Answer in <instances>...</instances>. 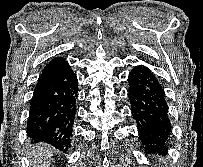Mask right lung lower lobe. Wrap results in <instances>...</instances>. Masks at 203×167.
Wrapping results in <instances>:
<instances>
[{
	"instance_id": "98d812e1",
	"label": "right lung lower lobe",
	"mask_w": 203,
	"mask_h": 167,
	"mask_svg": "<svg viewBox=\"0 0 203 167\" xmlns=\"http://www.w3.org/2000/svg\"><path fill=\"white\" fill-rule=\"evenodd\" d=\"M76 74L65 62L56 72L39 78L31 100L27 137L65 152L70 147L78 97Z\"/></svg>"
}]
</instances>
